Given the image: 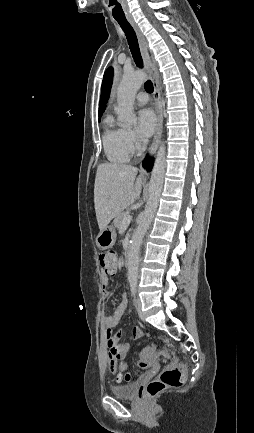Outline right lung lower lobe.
Returning <instances> with one entry per match:
<instances>
[{"mask_svg":"<svg viewBox=\"0 0 254 433\" xmlns=\"http://www.w3.org/2000/svg\"><path fill=\"white\" fill-rule=\"evenodd\" d=\"M144 167L147 168V170L150 171V169L152 168L153 165V160L152 159H146L143 163Z\"/></svg>","mask_w":254,"mask_h":433,"instance_id":"98d812e1","label":"right lung lower lobe"}]
</instances>
